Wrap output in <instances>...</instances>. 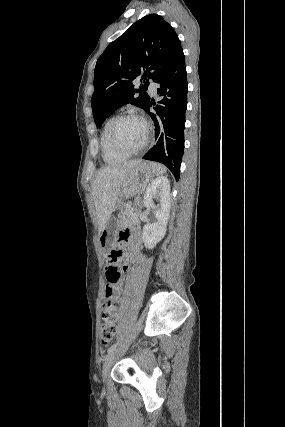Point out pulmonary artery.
I'll list each match as a JSON object with an SVG mask.
<instances>
[{
    "mask_svg": "<svg viewBox=\"0 0 285 427\" xmlns=\"http://www.w3.org/2000/svg\"><path fill=\"white\" fill-rule=\"evenodd\" d=\"M150 90H151V92L155 93L156 85L154 83H150Z\"/></svg>",
    "mask_w": 285,
    "mask_h": 427,
    "instance_id": "pulmonary-artery-1",
    "label": "pulmonary artery"
}]
</instances>
